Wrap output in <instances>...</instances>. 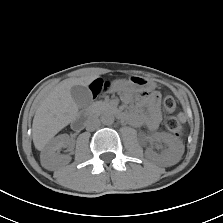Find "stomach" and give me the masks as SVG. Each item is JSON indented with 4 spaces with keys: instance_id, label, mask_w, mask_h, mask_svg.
Returning a JSON list of instances; mask_svg holds the SVG:
<instances>
[{
    "instance_id": "stomach-1",
    "label": "stomach",
    "mask_w": 223,
    "mask_h": 223,
    "mask_svg": "<svg viewBox=\"0 0 223 223\" xmlns=\"http://www.w3.org/2000/svg\"><path fill=\"white\" fill-rule=\"evenodd\" d=\"M155 84L141 76H131L128 79L116 80L110 85V91L119 93H133L137 91H151Z\"/></svg>"
}]
</instances>
